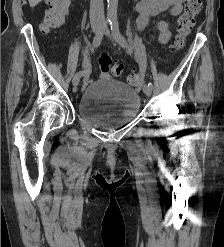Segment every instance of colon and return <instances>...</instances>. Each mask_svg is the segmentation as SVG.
Instances as JSON below:
<instances>
[{"instance_id": "5ec220e1", "label": "colon", "mask_w": 224, "mask_h": 247, "mask_svg": "<svg viewBox=\"0 0 224 247\" xmlns=\"http://www.w3.org/2000/svg\"><path fill=\"white\" fill-rule=\"evenodd\" d=\"M47 2L49 7L43 23L45 30L58 27L63 22L70 7L71 0H47ZM201 8V0H185L184 11L178 20L177 34L174 38L173 45L176 50L184 46L187 36L195 25V17L199 14ZM98 63L103 73H111L117 77L123 72V65L120 63L113 64L107 52L100 54ZM128 81L131 85H138L140 78L136 73H131L128 76Z\"/></svg>"}]
</instances>
